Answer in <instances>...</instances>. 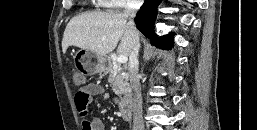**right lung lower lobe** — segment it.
<instances>
[{"instance_id":"1","label":"right lung lower lobe","mask_w":257,"mask_h":130,"mask_svg":"<svg viewBox=\"0 0 257 130\" xmlns=\"http://www.w3.org/2000/svg\"><path fill=\"white\" fill-rule=\"evenodd\" d=\"M161 0H146L142 5L140 11L137 13L135 23L138 29L151 40V44L169 48L173 46L170 37L161 38L158 40L154 34L153 25L156 18L157 7Z\"/></svg>"}]
</instances>
